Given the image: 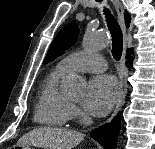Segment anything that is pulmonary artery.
<instances>
[{"mask_svg":"<svg viewBox=\"0 0 155 149\" xmlns=\"http://www.w3.org/2000/svg\"><path fill=\"white\" fill-rule=\"evenodd\" d=\"M59 68L65 73L76 71L103 72L107 68L103 57L95 52H76L64 57L59 63Z\"/></svg>","mask_w":155,"mask_h":149,"instance_id":"pulmonary-artery-1","label":"pulmonary artery"}]
</instances>
